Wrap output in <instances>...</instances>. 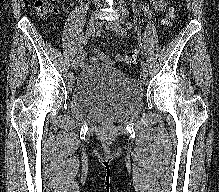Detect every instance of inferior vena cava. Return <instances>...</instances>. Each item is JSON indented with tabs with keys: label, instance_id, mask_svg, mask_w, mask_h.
<instances>
[{
	"label": "inferior vena cava",
	"instance_id": "1",
	"mask_svg": "<svg viewBox=\"0 0 219 192\" xmlns=\"http://www.w3.org/2000/svg\"><path fill=\"white\" fill-rule=\"evenodd\" d=\"M94 1L99 3L101 0H94Z\"/></svg>",
	"mask_w": 219,
	"mask_h": 192
}]
</instances>
